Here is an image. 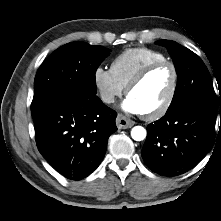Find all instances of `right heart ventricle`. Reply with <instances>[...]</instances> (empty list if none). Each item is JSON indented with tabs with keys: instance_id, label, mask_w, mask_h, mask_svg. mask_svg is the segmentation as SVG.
Returning <instances> with one entry per match:
<instances>
[{
	"instance_id": "1",
	"label": "right heart ventricle",
	"mask_w": 221,
	"mask_h": 221,
	"mask_svg": "<svg viewBox=\"0 0 221 221\" xmlns=\"http://www.w3.org/2000/svg\"><path fill=\"white\" fill-rule=\"evenodd\" d=\"M165 59L162 53L150 48H129L113 59L110 70L116 80L125 88L144 66Z\"/></svg>"
}]
</instances>
